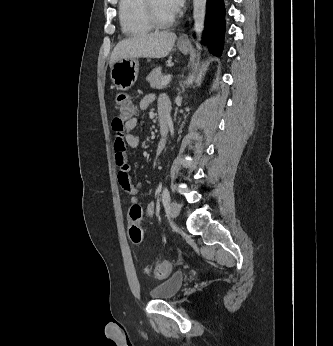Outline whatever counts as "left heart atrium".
Instances as JSON below:
<instances>
[{
	"mask_svg": "<svg viewBox=\"0 0 333 346\" xmlns=\"http://www.w3.org/2000/svg\"><path fill=\"white\" fill-rule=\"evenodd\" d=\"M185 0H163L166 9L172 14L178 13Z\"/></svg>",
	"mask_w": 333,
	"mask_h": 346,
	"instance_id": "39dd6f15",
	"label": "left heart atrium"
}]
</instances>
